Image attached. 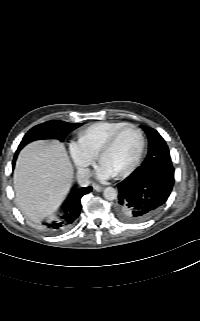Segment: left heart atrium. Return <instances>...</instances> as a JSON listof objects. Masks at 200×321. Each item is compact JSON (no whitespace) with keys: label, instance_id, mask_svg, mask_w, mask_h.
Returning a JSON list of instances; mask_svg holds the SVG:
<instances>
[{"label":"left heart atrium","instance_id":"left-heart-atrium-1","mask_svg":"<svg viewBox=\"0 0 200 321\" xmlns=\"http://www.w3.org/2000/svg\"><path fill=\"white\" fill-rule=\"evenodd\" d=\"M97 176L101 179H108L113 177L114 174L101 163L97 169Z\"/></svg>","mask_w":200,"mask_h":321}]
</instances>
